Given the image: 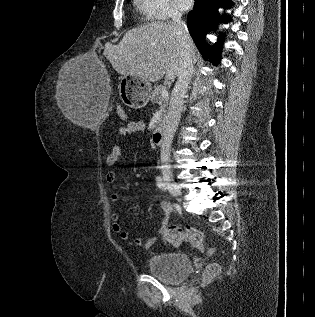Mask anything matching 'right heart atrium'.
I'll return each instance as SVG.
<instances>
[{
  "mask_svg": "<svg viewBox=\"0 0 315 317\" xmlns=\"http://www.w3.org/2000/svg\"><path fill=\"white\" fill-rule=\"evenodd\" d=\"M144 15L153 20H164L179 16V11L171 0H139Z\"/></svg>",
  "mask_w": 315,
  "mask_h": 317,
  "instance_id": "1",
  "label": "right heart atrium"
}]
</instances>
